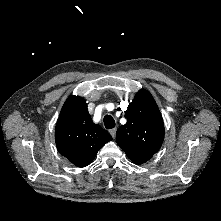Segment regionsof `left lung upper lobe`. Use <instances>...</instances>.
<instances>
[{
  "label": "left lung upper lobe",
  "instance_id": "left-lung-upper-lobe-1",
  "mask_svg": "<svg viewBox=\"0 0 221 221\" xmlns=\"http://www.w3.org/2000/svg\"><path fill=\"white\" fill-rule=\"evenodd\" d=\"M125 113L127 123L117 130V144L135 164H143L162 145V115L152 95L144 89L136 94Z\"/></svg>",
  "mask_w": 221,
  "mask_h": 221
}]
</instances>
